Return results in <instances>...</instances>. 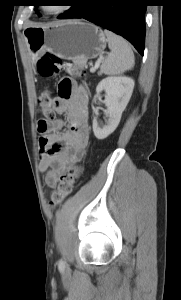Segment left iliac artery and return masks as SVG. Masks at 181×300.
I'll list each match as a JSON object with an SVG mask.
<instances>
[{
    "instance_id": "1",
    "label": "left iliac artery",
    "mask_w": 181,
    "mask_h": 300,
    "mask_svg": "<svg viewBox=\"0 0 181 300\" xmlns=\"http://www.w3.org/2000/svg\"><path fill=\"white\" fill-rule=\"evenodd\" d=\"M59 263H60L61 265H63V261H62V260H60Z\"/></svg>"
}]
</instances>
